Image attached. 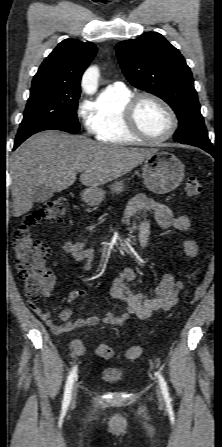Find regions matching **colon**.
I'll list each match as a JSON object with an SVG mask.
<instances>
[{
	"mask_svg": "<svg viewBox=\"0 0 222 447\" xmlns=\"http://www.w3.org/2000/svg\"><path fill=\"white\" fill-rule=\"evenodd\" d=\"M185 193L189 197H197L202 193V185L195 177H189L185 184ZM68 202L64 197L55 198L26 216L13 233L11 246L14 251V263L18 270L19 278L24 283L26 298L29 302H36L40 298L43 288L50 282L52 273L47 268L51 250L48 244L34 238L31 230L39 224L61 222L66 214ZM215 263L211 259L207 264L199 284L195 287L191 297V304L197 303L206 294L214 274ZM95 352L104 359L115 356L113 348L107 344L96 345ZM141 355L139 346H131L125 352L128 360L134 361Z\"/></svg>",
	"mask_w": 222,
	"mask_h": 447,
	"instance_id": "5ec220e1",
	"label": "colon"
}]
</instances>
